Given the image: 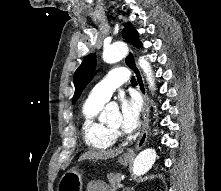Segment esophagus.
<instances>
[{
	"mask_svg": "<svg viewBox=\"0 0 221 191\" xmlns=\"http://www.w3.org/2000/svg\"><path fill=\"white\" fill-rule=\"evenodd\" d=\"M127 65L132 69L137 84H138V90L141 93L143 97V111H142V117H143V126H142V133L140 135V138L138 139L135 148L133 151L129 152V155H134L135 152L139 151L147 142L148 138V131H149V98L147 95L145 82L143 79V75L137 65L136 58L134 55L133 50H130L127 58H126Z\"/></svg>",
	"mask_w": 221,
	"mask_h": 191,
	"instance_id": "obj_1",
	"label": "esophagus"
}]
</instances>
